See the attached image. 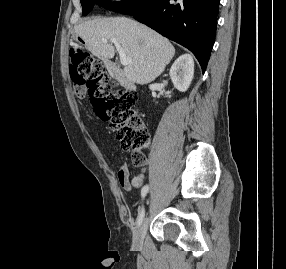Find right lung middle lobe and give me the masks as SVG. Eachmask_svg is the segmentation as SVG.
<instances>
[{"mask_svg": "<svg viewBox=\"0 0 286 269\" xmlns=\"http://www.w3.org/2000/svg\"><path fill=\"white\" fill-rule=\"evenodd\" d=\"M157 0H124L111 3L108 0H81L83 15H87L95 4L103 5L106 9L122 14L133 15L152 7Z\"/></svg>", "mask_w": 286, "mask_h": 269, "instance_id": "right-lung-middle-lobe-1", "label": "right lung middle lobe"}]
</instances>
